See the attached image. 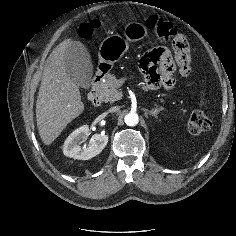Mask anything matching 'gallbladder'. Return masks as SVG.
<instances>
[{
	"label": "gallbladder",
	"mask_w": 236,
	"mask_h": 236,
	"mask_svg": "<svg viewBox=\"0 0 236 236\" xmlns=\"http://www.w3.org/2000/svg\"><path fill=\"white\" fill-rule=\"evenodd\" d=\"M65 69L73 82L83 89H89L93 66L86 47L80 42H73L66 50Z\"/></svg>",
	"instance_id": "1"
}]
</instances>
